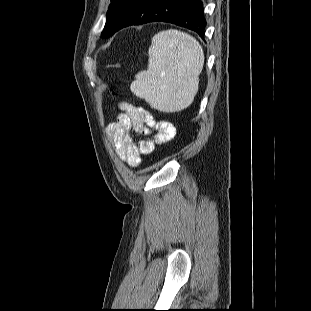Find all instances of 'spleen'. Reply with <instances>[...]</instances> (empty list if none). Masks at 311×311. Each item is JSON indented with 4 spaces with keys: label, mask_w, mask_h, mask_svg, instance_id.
I'll return each instance as SVG.
<instances>
[{
    "label": "spleen",
    "mask_w": 311,
    "mask_h": 311,
    "mask_svg": "<svg viewBox=\"0 0 311 311\" xmlns=\"http://www.w3.org/2000/svg\"><path fill=\"white\" fill-rule=\"evenodd\" d=\"M148 54V68L136 74L131 91L162 112L187 108L198 91L202 46L191 35L169 29L155 34Z\"/></svg>",
    "instance_id": "obj_1"
}]
</instances>
